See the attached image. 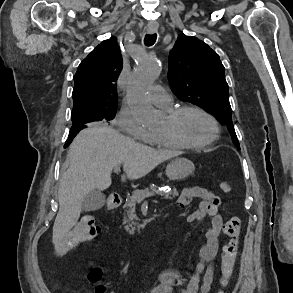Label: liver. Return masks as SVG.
Here are the masks:
<instances>
[{
    "mask_svg": "<svg viewBox=\"0 0 293 293\" xmlns=\"http://www.w3.org/2000/svg\"><path fill=\"white\" fill-rule=\"evenodd\" d=\"M179 154L155 150L107 126L94 124L82 130L69 148L68 168L59 182V211L52 236L54 244H58L77 223L83 198L91 191L109 188L115 167L123 165L127 178L135 180Z\"/></svg>",
    "mask_w": 293,
    "mask_h": 293,
    "instance_id": "1",
    "label": "liver"
}]
</instances>
